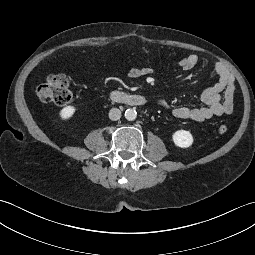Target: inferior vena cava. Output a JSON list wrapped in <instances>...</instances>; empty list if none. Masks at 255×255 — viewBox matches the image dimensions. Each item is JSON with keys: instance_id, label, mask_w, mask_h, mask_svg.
<instances>
[{"instance_id": "obj_1", "label": "inferior vena cava", "mask_w": 255, "mask_h": 255, "mask_svg": "<svg viewBox=\"0 0 255 255\" xmlns=\"http://www.w3.org/2000/svg\"><path fill=\"white\" fill-rule=\"evenodd\" d=\"M109 118L112 120V121H117L121 118V111L118 109V108H112L110 111H109Z\"/></svg>"}]
</instances>
